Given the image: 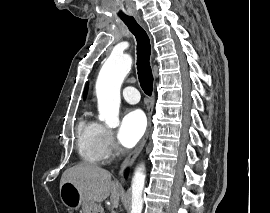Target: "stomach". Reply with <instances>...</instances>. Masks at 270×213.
<instances>
[{"mask_svg": "<svg viewBox=\"0 0 270 213\" xmlns=\"http://www.w3.org/2000/svg\"><path fill=\"white\" fill-rule=\"evenodd\" d=\"M60 198L69 210L81 209V213H103L101 206L85 199L71 181H66L60 186Z\"/></svg>", "mask_w": 270, "mask_h": 213, "instance_id": "1", "label": "stomach"}]
</instances>
